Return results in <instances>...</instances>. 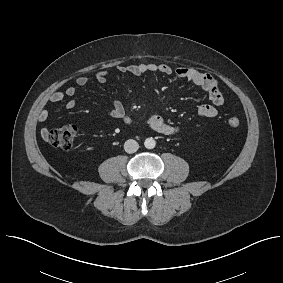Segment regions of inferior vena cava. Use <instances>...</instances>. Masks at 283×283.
Masks as SVG:
<instances>
[{"mask_svg":"<svg viewBox=\"0 0 283 283\" xmlns=\"http://www.w3.org/2000/svg\"><path fill=\"white\" fill-rule=\"evenodd\" d=\"M138 148L139 144L133 139H129L124 143V150L129 154L135 153Z\"/></svg>","mask_w":283,"mask_h":283,"instance_id":"602c4592","label":"inferior vena cava"}]
</instances>
